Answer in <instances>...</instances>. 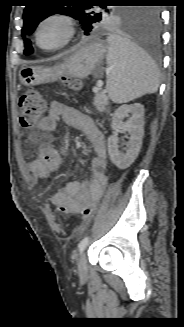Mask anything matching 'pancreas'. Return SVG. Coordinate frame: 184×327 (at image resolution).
Listing matches in <instances>:
<instances>
[{
  "instance_id": "1",
  "label": "pancreas",
  "mask_w": 184,
  "mask_h": 327,
  "mask_svg": "<svg viewBox=\"0 0 184 327\" xmlns=\"http://www.w3.org/2000/svg\"><path fill=\"white\" fill-rule=\"evenodd\" d=\"M93 104L99 112H103L106 109V106L108 105V97L104 92H95Z\"/></svg>"
}]
</instances>
